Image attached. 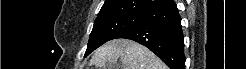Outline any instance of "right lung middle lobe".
<instances>
[{
    "instance_id": "dd1d6c3e",
    "label": "right lung middle lobe",
    "mask_w": 246,
    "mask_h": 69,
    "mask_svg": "<svg viewBox=\"0 0 246 69\" xmlns=\"http://www.w3.org/2000/svg\"><path fill=\"white\" fill-rule=\"evenodd\" d=\"M142 15L124 14L95 21L84 57L109 40L117 38L126 30L137 25Z\"/></svg>"
}]
</instances>
